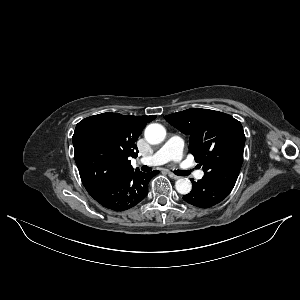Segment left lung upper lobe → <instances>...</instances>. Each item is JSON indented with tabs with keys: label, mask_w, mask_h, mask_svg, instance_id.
I'll return each mask as SVG.
<instances>
[{
	"label": "left lung upper lobe",
	"mask_w": 300,
	"mask_h": 300,
	"mask_svg": "<svg viewBox=\"0 0 300 300\" xmlns=\"http://www.w3.org/2000/svg\"><path fill=\"white\" fill-rule=\"evenodd\" d=\"M168 123L190 135V151L204 178L234 187L245 144L242 125L232 116L208 109H188L165 116Z\"/></svg>",
	"instance_id": "obj_1"
}]
</instances>
